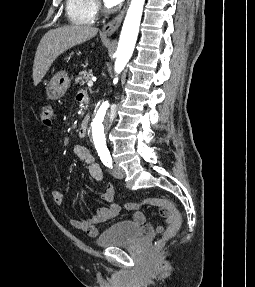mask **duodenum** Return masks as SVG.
Listing matches in <instances>:
<instances>
[{
  "label": "duodenum",
  "instance_id": "duodenum-1",
  "mask_svg": "<svg viewBox=\"0 0 255 287\" xmlns=\"http://www.w3.org/2000/svg\"><path fill=\"white\" fill-rule=\"evenodd\" d=\"M78 100H80L81 102L85 103V104H89L90 103V98L88 96L87 93L82 92L78 95ZM88 128H89V117L86 116L82 122L80 123L79 127H78V134L80 137H86L87 136V132H88Z\"/></svg>",
  "mask_w": 255,
  "mask_h": 287
}]
</instances>
